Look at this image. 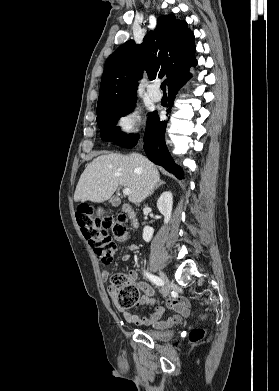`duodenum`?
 Instances as JSON below:
<instances>
[{
  "label": "duodenum",
  "mask_w": 279,
  "mask_h": 391,
  "mask_svg": "<svg viewBox=\"0 0 279 391\" xmlns=\"http://www.w3.org/2000/svg\"><path fill=\"white\" fill-rule=\"evenodd\" d=\"M124 209H125L126 213L128 214L129 219H130L132 225L134 227H136L138 222H137V218H136V215H135L134 211L130 207H128V206H125Z\"/></svg>",
  "instance_id": "obj_1"
}]
</instances>
